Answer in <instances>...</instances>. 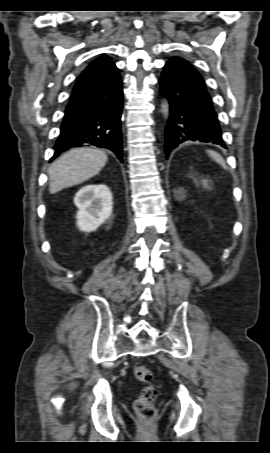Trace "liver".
<instances>
[{"label":"liver","mask_w":270,"mask_h":453,"mask_svg":"<svg viewBox=\"0 0 270 453\" xmlns=\"http://www.w3.org/2000/svg\"><path fill=\"white\" fill-rule=\"evenodd\" d=\"M107 155L97 148H74L50 166L49 192L80 184L98 174L107 162Z\"/></svg>","instance_id":"6515ba94"}]
</instances>
